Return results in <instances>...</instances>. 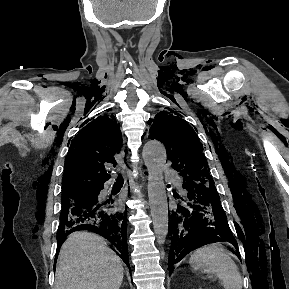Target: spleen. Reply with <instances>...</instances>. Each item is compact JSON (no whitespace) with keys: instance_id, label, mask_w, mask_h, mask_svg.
<instances>
[{"instance_id":"obj_1","label":"spleen","mask_w":289,"mask_h":289,"mask_svg":"<svg viewBox=\"0 0 289 289\" xmlns=\"http://www.w3.org/2000/svg\"><path fill=\"white\" fill-rule=\"evenodd\" d=\"M189 262L195 270L215 274L224 289H242L239 269L220 244H208L198 248Z\"/></svg>"}]
</instances>
